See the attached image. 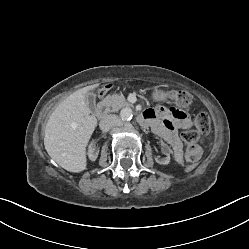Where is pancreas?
Listing matches in <instances>:
<instances>
[{
    "label": "pancreas",
    "mask_w": 249,
    "mask_h": 249,
    "mask_svg": "<svg viewBox=\"0 0 249 249\" xmlns=\"http://www.w3.org/2000/svg\"><path fill=\"white\" fill-rule=\"evenodd\" d=\"M106 103L111 107L112 112H117L121 108L129 106V103L122 94L108 95L106 97Z\"/></svg>",
    "instance_id": "obj_1"
}]
</instances>
